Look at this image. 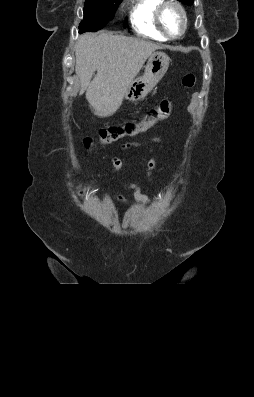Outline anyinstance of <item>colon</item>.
<instances>
[{"label":"colon","mask_w":254,"mask_h":397,"mask_svg":"<svg viewBox=\"0 0 254 397\" xmlns=\"http://www.w3.org/2000/svg\"><path fill=\"white\" fill-rule=\"evenodd\" d=\"M196 77L192 73L186 74L182 78V85L185 88L194 86ZM173 110L171 100L163 99L153 106L149 113L140 121H131L123 125H111L99 132V142L101 144H109L123 137H133L152 128L158 121L167 118ZM85 145H91V139H85Z\"/></svg>","instance_id":"1"}]
</instances>
